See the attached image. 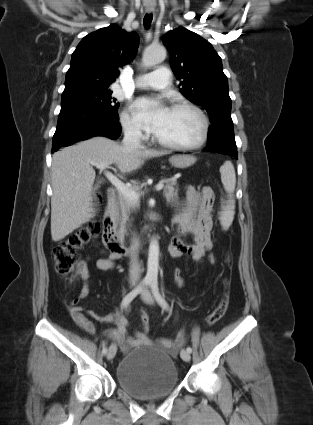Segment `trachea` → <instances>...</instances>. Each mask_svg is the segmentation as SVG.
Returning a JSON list of instances; mask_svg holds the SVG:
<instances>
[{"label": "trachea", "instance_id": "trachea-1", "mask_svg": "<svg viewBox=\"0 0 313 425\" xmlns=\"http://www.w3.org/2000/svg\"><path fill=\"white\" fill-rule=\"evenodd\" d=\"M153 15L152 14H146L143 20L144 26L148 28L152 22Z\"/></svg>", "mask_w": 313, "mask_h": 425}]
</instances>
